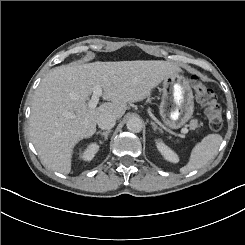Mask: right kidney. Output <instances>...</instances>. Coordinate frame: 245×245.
Wrapping results in <instances>:
<instances>
[{"label": "right kidney", "instance_id": "right-kidney-1", "mask_svg": "<svg viewBox=\"0 0 245 245\" xmlns=\"http://www.w3.org/2000/svg\"><path fill=\"white\" fill-rule=\"evenodd\" d=\"M98 150L99 146L96 143H90L83 152H80V159L84 161H91Z\"/></svg>", "mask_w": 245, "mask_h": 245}]
</instances>
